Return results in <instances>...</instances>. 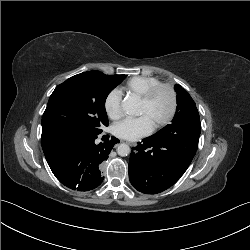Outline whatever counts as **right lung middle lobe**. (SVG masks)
Segmentation results:
<instances>
[{"instance_id":"right-lung-middle-lobe-1","label":"right lung middle lobe","mask_w":250,"mask_h":250,"mask_svg":"<svg viewBox=\"0 0 250 250\" xmlns=\"http://www.w3.org/2000/svg\"><path fill=\"white\" fill-rule=\"evenodd\" d=\"M125 75H105L98 71L77 74L58 85L42 118V132L72 129L100 134L108 126L105 100Z\"/></svg>"}]
</instances>
